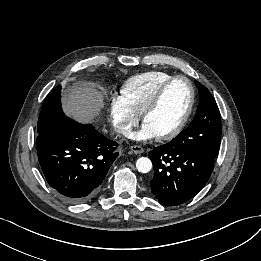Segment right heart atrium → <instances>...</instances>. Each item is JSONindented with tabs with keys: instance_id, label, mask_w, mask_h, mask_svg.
I'll list each match as a JSON object with an SVG mask.
<instances>
[{
	"instance_id": "right-heart-atrium-1",
	"label": "right heart atrium",
	"mask_w": 261,
	"mask_h": 261,
	"mask_svg": "<svg viewBox=\"0 0 261 261\" xmlns=\"http://www.w3.org/2000/svg\"><path fill=\"white\" fill-rule=\"evenodd\" d=\"M110 123L119 134L127 135L140 119L122 94L114 95L110 102Z\"/></svg>"
}]
</instances>
